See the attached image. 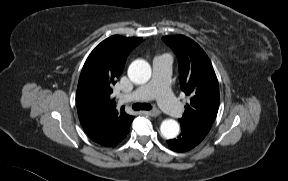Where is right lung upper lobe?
Listing matches in <instances>:
<instances>
[{
    "mask_svg": "<svg viewBox=\"0 0 288 181\" xmlns=\"http://www.w3.org/2000/svg\"><path fill=\"white\" fill-rule=\"evenodd\" d=\"M142 41L139 37L113 35L102 41L88 56L76 93L79 120L96 143L111 147L129 132L133 116L116 109L112 86L121 75L127 55Z\"/></svg>",
    "mask_w": 288,
    "mask_h": 181,
    "instance_id": "obj_1",
    "label": "right lung upper lobe"
}]
</instances>
